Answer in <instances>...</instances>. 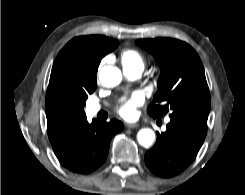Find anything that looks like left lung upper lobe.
I'll use <instances>...</instances> for the list:
<instances>
[{"mask_svg": "<svg viewBox=\"0 0 245 195\" xmlns=\"http://www.w3.org/2000/svg\"><path fill=\"white\" fill-rule=\"evenodd\" d=\"M136 44L153 54L161 70L149 115L156 118L170 112V118L207 125L210 93L197 52L172 38L139 39Z\"/></svg>", "mask_w": 245, "mask_h": 195, "instance_id": "obj_1", "label": "left lung upper lobe"}]
</instances>
